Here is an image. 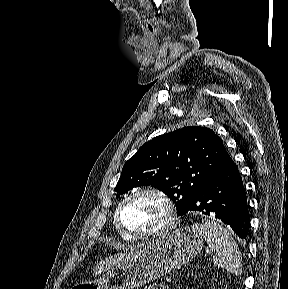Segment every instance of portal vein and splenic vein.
<instances>
[{"label": "portal vein and splenic vein", "instance_id": "18ae733b", "mask_svg": "<svg viewBox=\"0 0 288 289\" xmlns=\"http://www.w3.org/2000/svg\"><path fill=\"white\" fill-rule=\"evenodd\" d=\"M159 287H160V288H164V289H168V285L166 284V282H161V283L159 284Z\"/></svg>", "mask_w": 288, "mask_h": 289}]
</instances>
